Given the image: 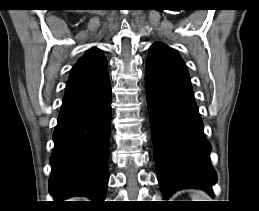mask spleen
<instances>
[{
    "label": "spleen",
    "mask_w": 259,
    "mask_h": 211,
    "mask_svg": "<svg viewBox=\"0 0 259 211\" xmlns=\"http://www.w3.org/2000/svg\"><path fill=\"white\" fill-rule=\"evenodd\" d=\"M190 196L192 201H211L210 196L202 190H192Z\"/></svg>",
    "instance_id": "3e777b00"
}]
</instances>
